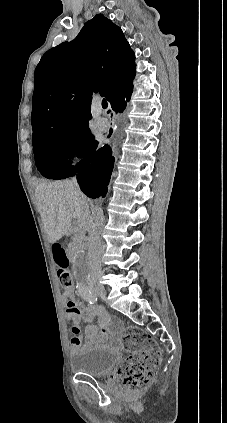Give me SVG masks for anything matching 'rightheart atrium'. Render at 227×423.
<instances>
[{
  "label": "right heart atrium",
  "mask_w": 227,
  "mask_h": 423,
  "mask_svg": "<svg viewBox=\"0 0 227 423\" xmlns=\"http://www.w3.org/2000/svg\"><path fill=\"white\" fill-rule=\"evenodd\" d=\"M83 158V147L80 140H73L65 151V160L69 163L79 162Z\"/></svg>",
  "instance_id": "obj_1"
}]
</instances>
